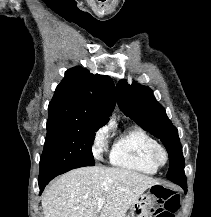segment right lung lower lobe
Wrapping results in <instances>:
<instances>
[{"mask_svg": "<svg viewBox=\"0 0 211 217\" xmlns=\"http://www.w3.org/2000/svg\"><path fill=\"white\" fill-rule=\"evenodd\" d=\"M74 168H64V169H57V170H52L49 171L45 174L39 175L38 178V183H39V189H40V193L44 190L45 186L56 176L63 174L67 171H70Z\"/></svg>", "mask_w": 211, "mask_h": 217, "instance_id": "98d812e1", "label": "right lung lower lobe"}]
</instances>
